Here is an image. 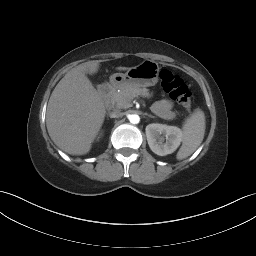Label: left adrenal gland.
<instances>
[{
  "mask_svg": "<svg viewBox=\"0 0 256 256\" xmlns=\"http://www.w3.org/2000/svg\"><path fill=\"white\" fill-rule=\"evenodd\" d=\"M148 117H150V118H155V116H153V115H150V114H146Z\"/></svg>",
  "mask_w": 256,
  "mask_h": 256,
  "instance_id": "obj_1",
  "label": "left adrenal gland"
}]
</instances>
